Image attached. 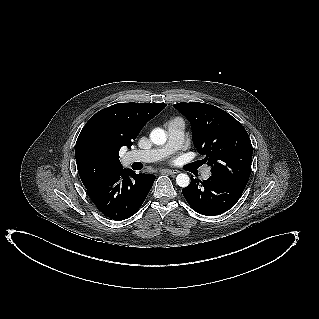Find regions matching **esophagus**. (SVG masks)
<instances>
[{"label":"esophagus","instance_id":"34e87169","mask_svg":"<svg viewBox=\"0 0 319 319\" xmlns=\"http://www.w3.org/2000/svg\"><path fill=\"white\" fill-rule=\"evenodd\" d=\"M163 172L166 174H169V175H175V174L179 173V171L175 170V169H173V170L172 169H165V170H163Z\"/></svg>","mask_w":319,"mask_h":319}]
</instances>
